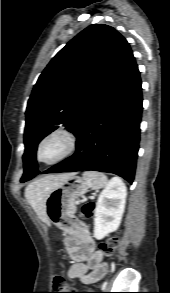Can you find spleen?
I'll use <instances>...</instances> for the list:
<instances>
[{
  "label": "spleen",
  "instance_id": "3e777b00",
  "mask_svg": "<svg viewBox=\"0 0 170 293\" xmlns=\"http://www.w3.org/2000/svg\"><path fill=\"white\" fill-rule=\"evenodd\" d=\"M83 180L88 188L93 190L101 189L108 183L107 177L103 173L96 171H85L83 173Z\"/></svg>",
  "mask_w": 170,
  "mask_h": 293
}]
</instances>
